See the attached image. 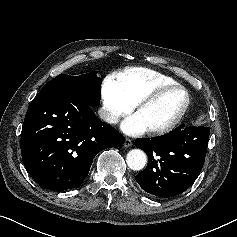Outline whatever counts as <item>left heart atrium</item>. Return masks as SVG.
I'll return each mask as SVG.
<instances>
[{"label":"left heart atrium","instance_id":"1","mask_svg":"<svg viewBox=\"0 0 237 237\" xmlns=\"http://www.w3.org/2000/svg\"><path fill=\"white\" fill-rule=\"evenodd\" d=\"M121 129L123 130V132L129 135L142 134L147 130V128L140 120V118L136 115V113L130 115L123 121Z\"/></svg>","mask_w":237,"mask_h":237}]
</instances>
